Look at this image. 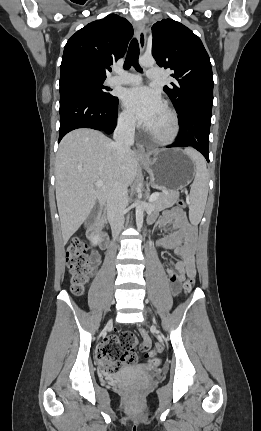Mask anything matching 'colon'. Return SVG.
I'll use <instances>...</instances> for the list:
<instances>
[{
    "label": "colon",
    "instance_id": "obj_1",
    "mask_svg": "<svg viewBox=\"0 0 261 431\" xmlns=\"http://www.w3.org/2000/svg\"><path fill=\"white\" fill-rule=\"evenodd\" d=\"M178 204L181 207L186 205L184 200H180ZM66 261L70 274L71 290L74 294L81 295L88 281L90 259L85 243L79 238H73L68 243L66 247ZM193 284L194 275H190L184 282V291L186 293L190 292ZM136 344V338L130 332H123L117 336L108 338L99 350L103 370L108 374H114L122 366L136 363L138 361V357L134 352ZM159 351H165L163 343H157L155 349L147 351V361L160 366L163 360L160 357L156 358V354Z\"/></svg>",
    "mask_w": 261,
    "mask_h": 431
}]
</instances>
